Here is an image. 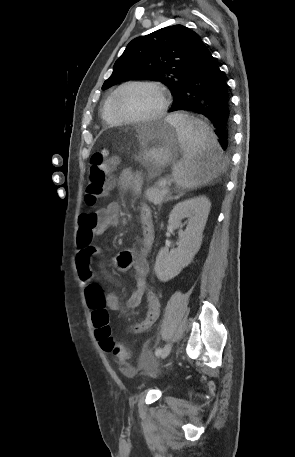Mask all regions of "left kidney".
I'll return each mask as SVG.
<instances>
[{
    "instance_id": "left-kidney-1",
    "label": "left kidney",
    "mask_w": 295,
    "mask_h": 457,
    "mask_svg": "<svg viewBox=\"0 0 295 457\" xmlns=\"http://www.w3.org/2000/svg\"><path fill=\"white\" fill-rule=\"evenodd\" d=\"M210 207V201L204 196L191 198L174 206L168 223L172 228L179 229V244L170 252L167 248L159 251L154 271L160 281L167 282L174 278L192 262L202 243V233ZM184 218H187V226L183 231L181 227Z\"/></svg>"
}]
</instances>
